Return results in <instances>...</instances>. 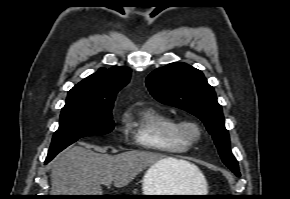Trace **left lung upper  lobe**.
I'll return each mask as SVG.
<instances>
[{
	"label": "left lung upper lobe",
	"instance_id": "5c2ea615",
	"mask_svg": "<svg viewBox=\"0 0 290 199\" xmlns=\"http://www.w3.org/2000/svg\"><path fill=\"white\" fill-rule=\"evenodd\" d=\"M146 85L159 102L186 110L202 120L224 164L231 170L239 169L230 149L221 105L200 70L186 63H171L154 70L147 77Z\"/></svg>",
	"mask_w": 290,
	"mask_h": 199
}]
</instances>
